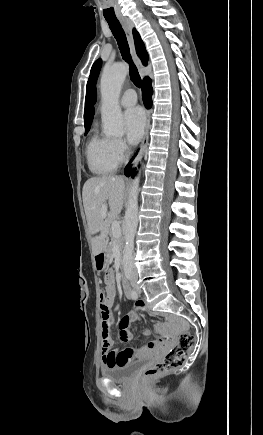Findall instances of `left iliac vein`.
<instances>
[{
  "label": "left iliac vein",
  "mask_w": 263,
  "mask_h": 435,
  "mask_svg": "<svg viewBox=\"0 0 263 435\" xmlns=\"http://www.w3.org/2000/svg\"><path fill=\"white\" fill-rule=\"evenodd\" d=\"M136 291L137 293H141V290L138 287H136Z\"/></svg>",
  "instance_id": "obj_1"
}]
</instances>
